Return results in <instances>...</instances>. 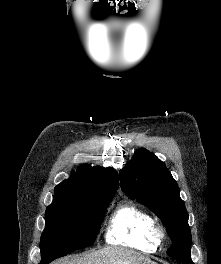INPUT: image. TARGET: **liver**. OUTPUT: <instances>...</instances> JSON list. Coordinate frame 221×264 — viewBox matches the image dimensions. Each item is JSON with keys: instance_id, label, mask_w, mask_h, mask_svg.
<instances>
[{"instance_id": "6515ba94", "label": "liver", "mask_w": 221, "mask_h": 264, "mask_svg": "<svg viewBox=\"0 0 221 264\" xmlns=\"http://www.w3.org/2000/svg\"><path fill=\"white\" fill-rule=\"evenodd\" d=\"M150 259L136 251L121 247H106L71 259H61L52 264H142Z\"/></svg>"}]
</instances>
